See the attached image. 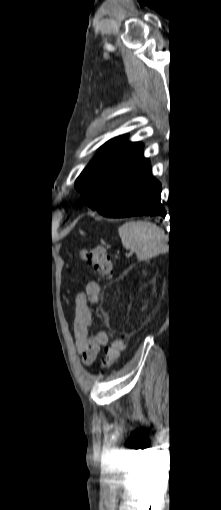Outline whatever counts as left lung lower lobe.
Listing matches in <instances>:
<instances>
[{
	"mask_svg": "<svg viewBox=\"0 0 221 510\" xmlns=\"http://www.w3.org/2000/svg\"><path fill=\"white\" fill-rule=\"evenodd\" d=\"M160 194L161 184L151 175L149 164L106 207L96 211L110 218L143 215L165 217Z\"/></svg>",
	"mask_w": 221,
	"mask_h": 510,
	"instance_id": "obj_1",
	"label": "left lung lower lobe"
}]
</instances>
